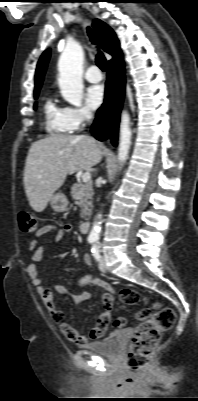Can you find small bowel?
<instances>
[{"instance_id": "c3829d8e", "label": "small bowel", "mask_w": 198, "mask_h": 401, "mask_svg": "<svg viewBox=\"0 0 198 401\" xmlns=\"http://www.w3.org/2000/svg\"><path fill=\"white\" fill-rule=\"evenodd\" d=\"M73 231V226L71 224H66L63 227L56 226L54 224H47L40 227L36 233V237L31 240L29 244V250L31 253V258L33 261L38 262L42 259V248L38 245L39 239L49 233H54V240L56 243H60L64 240V238ZM84 262L91 266V259L88 254H84L83 256ZM27 274L31 279L32 284L36 287L37 292L43 299V302L48 307L52 319L57 323L63 322V313L60 309H58L54 304V295L50 289H47L42 286V280L37 272V268L34 264H30L26 268ZM77 291L71 294V299L76 302H84L87 301L91 292L89 290H83L84 287H101L105 289L107 292L102 295L101 303L103 307V312L97 319L96 324L91 328L90 333L88 335L81 334L75 327L62 324L61 333L63 336L77 343L78 345H85L89 340H96L102 338L107 330L108 323L111 318V310L113 307V296L111 294L112 287L111 285L102 280L101 278L92 275V274H84L79 275L76 278ZM55 290L59 295H67L68 290L62 284H57L55 286Z\"/></svg>"}]
</instances>
